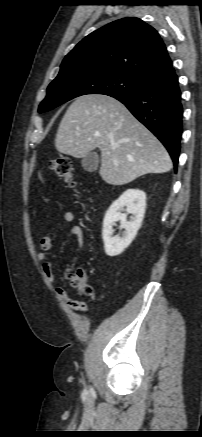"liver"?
Wrapping results in <instances>:
<instances>
[{
  "label": "liver",
  "mask_w": 202,
  "mask_h": 437,
  "mask_svg": "<svg viewBox=\"0 0 202 437\" xmlns=\"http://www.w3.org/2000/svg\"><path fill=\"white\" fill-rule=\"evenodd\" d=\"M55 147L75 158L99 148L100 176L116 186L172 168L161 142L121 102L107 95L76 98L60 122Z\"/></svg>",
  "instance_id": "1"
}]
</instances>
